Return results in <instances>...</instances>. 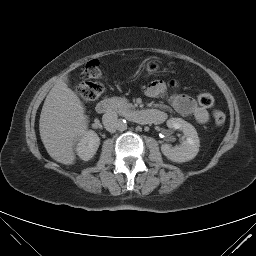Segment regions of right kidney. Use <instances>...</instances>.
Returning <instances> with one entry per match:
<instances>
[{
    "mask_svg": "<svg viewBox=\"0 0 256 256\" xmlns=\"http://www.w3.org/2000/svg\"><path fill=\"white\" fill-rule=\"evenodd\" d=\"M100 144L98 135L92 131H84L76 146L77 155L84 161H88L94 156Z\"/></svg>",
    "mask_w": 256,
    "mask_h": 256,
    "instance_id": "1",
    "label": "right kidney"
}]
</instances>
